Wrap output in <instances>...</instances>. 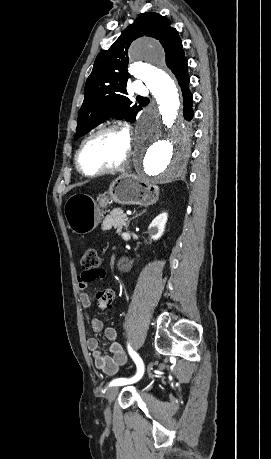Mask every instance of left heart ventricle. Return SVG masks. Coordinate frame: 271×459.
Here are the masks:
<instances>
[{
  "instance_id": "obj_1",
  "label": "left heart ventricle",
  "mask_w": 271,
  "mask_h": 459,
  "mask_svg": "<svg viewBox=\"0 0 271 459\" xmlns=\"http://www.w3.org/2000/svg\"><path fill=\"white\" fill-rule=\"evenodd\" d=\"M129 141L126 136L107 131L93 136L84 145L80 162L87 171L116 163L127 152Z\"/></svg>"
}]
</instances>
